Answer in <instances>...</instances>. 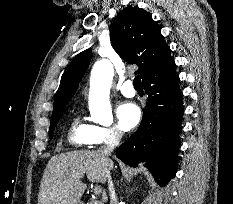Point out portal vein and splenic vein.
Instances as JSON below:
<instances>
[{"mask_svg": "<svg viewBox=\"0 0 233 204\" xmlns=\"http://www.w3.org/2000/svg\"><path fill=\"white\" fill-rule=\"evenodd\" d=\"M102 193V188L100 186H96L94 188V194L95 195H100Z\"/></svg>", "mask_w": 233, "mask_h": 204, "instance_id": "obj_1", "label": "portal vein and splenic vein"}]
</instances>
